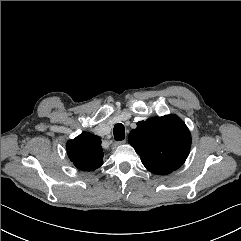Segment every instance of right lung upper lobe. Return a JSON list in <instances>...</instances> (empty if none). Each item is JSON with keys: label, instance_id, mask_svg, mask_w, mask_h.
I'll list each match as a JSON object with an SVG mask.
<instances>
[{"label": "right lung upper lobe", "instance_id": "cb5924a9", "mask_svg": "<svg viewBox=\"0 0 241 241\" xmlns=\"http://www.w3.org/2000/svg\"><path fill=\"white\" fill-rule=\"evenodd\" d=\"M67 154L75 167L93 171L103 164L101 139L91 133H81L66 145Z\"/></svg>", "mask_w": 241, "mask_h": 241}]
</instances>
